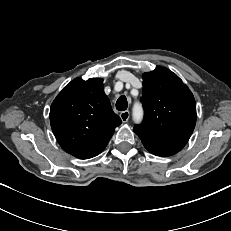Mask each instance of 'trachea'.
I'll return each mask as SVG.
<instances>
[{"label": "trachea", "instance_id": "1", "mask_svg": "<svg viewBox=\"0 0 231 231\" xmlns=\"http://www.w3.org/2000/svg\"><path fill=\"white\" fill-rule=\"evenodd\" d=\"M128 103L125 96H120L116 102V109L119 111H125L127 109Z\"/></svg>", "mask_w": 231, "mask_h": 231}]
</instances>
